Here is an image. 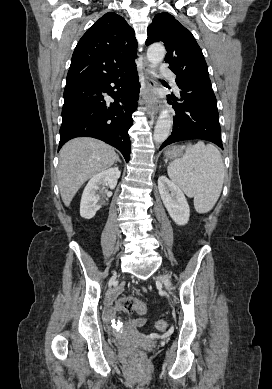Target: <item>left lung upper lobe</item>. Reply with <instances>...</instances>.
<instances>
[{
	"mask_svg": "<svg viewBox=\"0 0 272 389\" xmlns=\"http://www.w3.org/2000/svg\"><path fill=\"white\" fill-rule=\"evenodd\" d=\"M146 45L163 42L167 54L165 62L177 76L184 79H209L206 61L192 33L169 13L155 15L147 29Z\"/></svg>",
	"mask_w": 272,
	"mask_h": 389,
	"instance_id": "left-lung-upper-lobe-1",
	"label": "left lung upper lobe"
}]
</instances>
